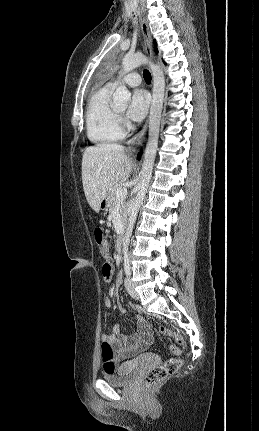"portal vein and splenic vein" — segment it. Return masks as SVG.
<instances>
[{
	"label": "portal vein and splenic vein",
	"instance_id": "18ae733b",
	"mask_svg": "<svg viewBox=\"0 0 259 431\" xmlns=\"http://www.w3.org/2000/svg\"><path fill=\"white\" fill-rule=\"evenodd\" d=\"M116 196L119 200H124L127 196V189L124 187L117 189Z\"/></svg>",
	"mask_w": 259,
	"mask_h": 431
}]
</instances>
